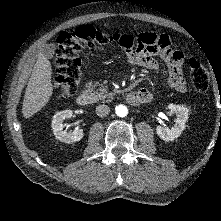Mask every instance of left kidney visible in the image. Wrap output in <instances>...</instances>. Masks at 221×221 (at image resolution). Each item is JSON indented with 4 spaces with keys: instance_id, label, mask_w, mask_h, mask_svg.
Masks as SVG:
<instances>
[{
    "instance_id": "left-kidney-1",
    "label": "left kidney",
    "mask_w": 221,
    "mask_h": 221,
    "mask_svg": "<svg viewBox=\"0 0 221 221\" xmlns=\"http://www.w3.org/2000/svg\"><path fill=\"white\" fill-rule=\"evenodd\" d=\"M168 109L176 113L175 124L173 127L157 126L156 133L164 141H173L178 138L185 129V123L188 120L189 109L185 106L169 104Z\"/></svg>"
}]
</instances>
